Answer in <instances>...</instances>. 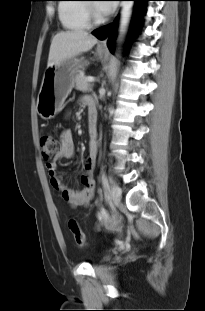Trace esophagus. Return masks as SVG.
Here are the masks:
<instances>
[{"label":"esophagus","instance_id":"1","mask_svg":"<svg viewBox=\"0 0 205 311\" xmlns=\"http://www.w3.org/2000/svg\"><path fill=\"white\" fill-rule=\"evenodd\" d=\"M106 44H107V39H104L100 42L99 46L100 47H106Z\"/></svg>","mask_w":205,"mask_h":311}]
</instances>
